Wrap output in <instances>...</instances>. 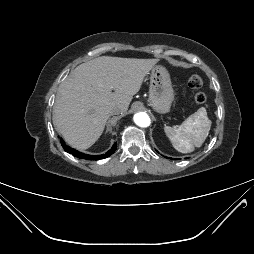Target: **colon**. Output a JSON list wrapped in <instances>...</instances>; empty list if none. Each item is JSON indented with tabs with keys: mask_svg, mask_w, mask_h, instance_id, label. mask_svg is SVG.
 Returning a JSON list of instances; mask_svg holds the SVG:
<instances>
[{
	"mask_svg": "<svg viewBox=\"0 0 254 254\" xmlns=\"http://www.w3.org/2000/svg\"><path fill=\"white\" fill-rule=\"evenodd\" d=\"M202 86V78L194 74L189 77L188 79V87L193 92V99L195 103L197 104H203L206 101V96L203 92L200 91V88Z\"/></svg>",
	"mask_w": 254,
	"mask_h": 254,
	"instance_id": "1",
	"label": "colon"
}]
</instances>
